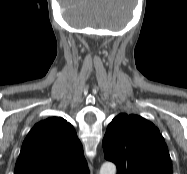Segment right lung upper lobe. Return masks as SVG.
<instances>
[{"mask_svg":"<svg viewBox=\"0 0 187 174\" xmlns=\"http://www.w3.org/2000/svg\"><path fill=\"white\" fill-rule=\"evenodd\" d=\"M15 174H89L73 126L61 117L37 123L22 144Z\"/></svg>","mask_w":187,"mask_h":174,"instance_id":"right-lung-upper-lobe-1","label":"right lung upper lobe"}]
</instances>
